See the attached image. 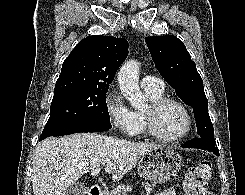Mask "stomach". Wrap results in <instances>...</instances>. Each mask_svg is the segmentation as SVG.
<instances>
[{"label":"stomach","mask_w":245,"mask_h":195,"mask_svg":"<svg viewBox=\"0 0 245 195\" xmlns=\"http://www.w3.org/2000/svg\"><path fill=\"white\" fill-rule=\"evenodd\" d=\"M182 167V158L173 147L161 146L141 156L139 175L152 183H163L176 176Z\"/></svg>","instance_id":"0dacf381"}]
</instances>
